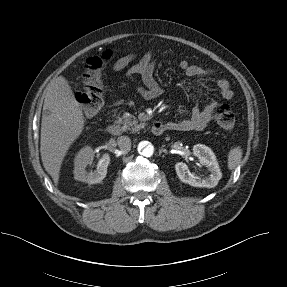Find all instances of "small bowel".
<instances>
[{"mask_svg": "<svg viewBox=\"0 0 287 287\" xmlns=\"http://www.w3.org/2000/svg\"><path fill=\"white\" fill-rule=\"evenodd\" d=\"M156 65L157 61L154 57V53L152 50H149L140 57L135 53H130L119 58L113 65V71L117 72L127 68V76L130 79L134 80L138 77L141 80L142 84L137 86L138 93L144 99L152 100L162 93V88L154 77ZM178 66L185 76L198 80L214 74L211 69H204L199 65L190 64L185 59H181ZM216 86L223 100L232 99L233 91L225 78H217ZM217 105H219V103L215 99H211L204 106L196 105L188 118L167 122L165 128L175 131L204 129L212 120Z\"/></svg>", "mask_w": 287, "mask_h": 287, "instance_id": "obj_1", "label": "small bowel"}]
</instances>
